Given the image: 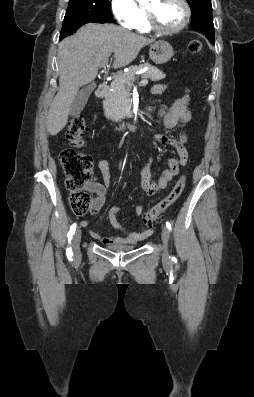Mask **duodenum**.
<instances>
[{
	"label": "duodenum",
	"mask_w": 254,
	"mask_h": 397,
	"mask_svg": "<svg viewBox=\"0 0 254 397\" xmlns=\"http://www.w3.org/2000/svg\"><path fill=\"white\" fill-rule=\"evenodd\" d=\"M108 92V87L105 84H100L96 91L95 94L98 98H104ZM137 123L134 121H127V122H122L116 126V130L118 131H126V130H131L135 129L137 127Z\"/></svg>",
	"instance_id": "1"
}]
</instances>
